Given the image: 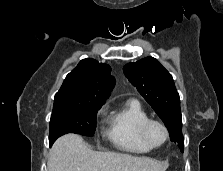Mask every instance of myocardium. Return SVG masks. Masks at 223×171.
<instances>
[{
  "label": "myocardium",
  "mask_w": 223,
  "mask_h": 171,
  "mask_svg": "<svg viewBox=\"0 0 223 171\" xmlns=\"http://www.w3.org/2000/svg\"><path fill=\"white\" fill-rule=\"evenodd\" d=\"M153 125H158L160 126L165 134L164 140L157 144L154 143L151 138H150V129ZM141 135L143 140L151 147V148H159L161 146H163L169 139V130L167 128V126L160 120L157 119H151L149 118L147 121L144 122V124L141 127Z\"/></svg>",
  "instance_id": "1"
}]
</instances>
